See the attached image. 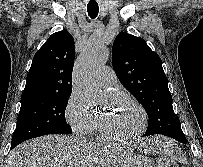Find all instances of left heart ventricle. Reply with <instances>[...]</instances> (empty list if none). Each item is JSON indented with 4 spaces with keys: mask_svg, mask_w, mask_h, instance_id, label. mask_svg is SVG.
Returning a JSON list of instances; mask_svg holds the SVG:
<instances>
[{
    "mask_svg": "<svg viewBox=\"0 0 203 167\" xmlns=\"http://www.w3.org/2000/svg\"><path fill=\"white\" fill-rule=\"evenodd\" d=\"M108 130L118 137L133 135L140 126L138 110L122 98H114L113 106L100 115Z\"/></svg>",
    "mask_w": 203,
    "mask_h": 167,
    "instance_id": "b2bd125f",
    "label": "left heart ventricle"
}]
</instances>
